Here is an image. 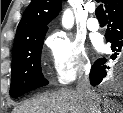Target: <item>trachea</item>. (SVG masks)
I'll return each instance as SVG.
<instances>
[{"instance_id": "1", "label": "trachea", "mask_w": 123, "mask_h": 113, "mask_svg": "<svg viewBox=\"0 0 123 113\" xmlns=\"http://www.w3.org/2000/svg\"><path fill=\"white\" fill-rule=\"evenodd\" d=\"M96 16L97 18H106L107 15L104 11V8H103V4H100L97 8H96Z\"/></svg>"}]
</instances>
